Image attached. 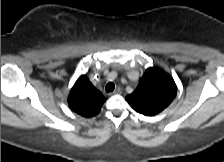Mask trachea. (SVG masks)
Returning a JSON list of instances; mask_svg holds the SVG:
<instances>
[{"instance_id":"obj_1","label":"trachea","mask_w":224,"mask_h":162,"mask_svg":"<svg viewBox=\"0 0 224 162\" xmlns=\"http://www.w3.org/2000/svg\"><path fill=\"white\" fill-rule=\"evenodd\" d=\"M114 89H115V85L112 82H109L105 87L106 92H112Z\"/></svg>"}]
</instances>
